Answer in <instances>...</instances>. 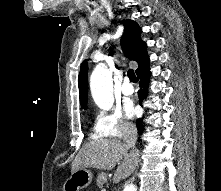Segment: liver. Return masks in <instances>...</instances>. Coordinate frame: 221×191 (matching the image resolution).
<instances>
[{"label": "liver", "mask_w": 221, "mask_h": 191, "mask_svg": "<svg viewBox=\"0 0 221 191\" xmlns=\"http://www.w3.org/2000/svg\"><path fill=\"white\" fill-rule=\"evenodd\" d=\"M137 162L138 157L128 153L125 143L116 139H99L89 142L79 151L72 163L71 173L89 167L112 170L118 164L113 177V181L118 183L132 174Z\"/></svg>", "instance_id": "obj_1"}]
</instances>
